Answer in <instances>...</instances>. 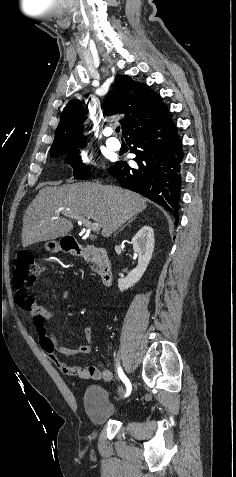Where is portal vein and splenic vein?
Instances as JSON below:
<instances>
[{"instance_id": "18ae733b", "label": "portal vein and splenic vein", "mask_w": 236, "mask_h": 477, "mask_svg": "<svg viewBox=\"0 0 236 477\" xmlns=\"http://www.w3.org/2000/svg\"><path fill=\"white\" fill-rule=\"evenodd\" d=\"M62 214L66 217L72 218L77 220L80 224H83L86 228L97 232L100 230V226L98 223H91L89 220L85 219L83 216H80L78 214H74L71 212H62Z\"/></svg>"}]
</instances>
